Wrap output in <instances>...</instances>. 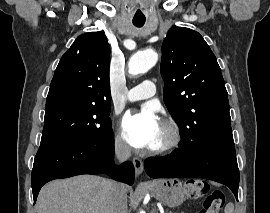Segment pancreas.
Here are the masks:
<instances>
[{
  "instance_id": "cf45deb5",
  "label": "pancreas",
  "mask_w": 270,
  "mask_h": 213,
  "mask_svg": "<svg viewBox=\"0 0 270 213\" xmlns=\"http://www.w3.org/2000/svg\"><path fill=\"white\" fill-rule=\"evenodd\" d=\"M167 213H174V212H171V211H170V212H167Z\"/></svg>"
}]
</instances>
